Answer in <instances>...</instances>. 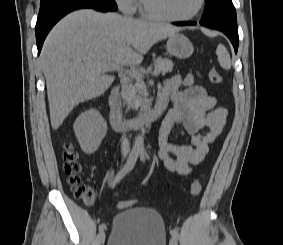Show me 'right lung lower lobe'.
<instances>
[{
    "mask_svg": "<svg viewBox=\"0 0 283 245\" xmlns=\"http://www.w3.org/2000/svg\"><path fill=\"white\" fill-rule=\"evenodd\" d=\"M82 8H92L101 12L116 11L113 0H64L40 8L35 26L38 54L51 28L66 14Z\"/></svg>",
    "mask_w": 283,
    "mask_h": 245,
    "instance_id": "98d812e1",
    "label": "right lung lower lobe"
}]
</instances>
